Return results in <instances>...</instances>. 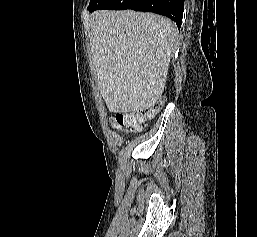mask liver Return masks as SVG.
I'll return each instance as SVG.
<instances>
[{
  "label": "liver",
  "instance_id": "1",
  "mask_svg": "<svg viewBox=\"0 0 257 237\" xmlns=\"http://www.w3.org/2000/svg\"><path fill=\"white\" fill-rule=\"evenodd\" d=\"M94 19L92 60L107 108L115 113L151 108L166 84L178 36L175 24L134 11H97Z\"/></svg>",
  "mask_w": 257,
  "mask_h": 237
}]
</instances>
